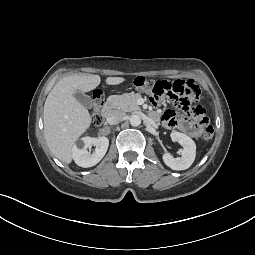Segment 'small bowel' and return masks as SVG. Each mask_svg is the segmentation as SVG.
<instances>
[{"instance_id":"c3829d8e","label":"small bowel","mask_w":255,"mask_h":255,"mask_svg":"<svg viewBox=\"0 0 255 255\" xmlns=\"http://www.w3.org/2000/svg\"><path fill=\"white\" fill-rule=\"evenodd\" d=\"M153 116L159 118L166 128L178 129L192 137H198L202 132L201 125L171 110H166L163 113L154 112Z\"/></svg>"}]
</instances>
